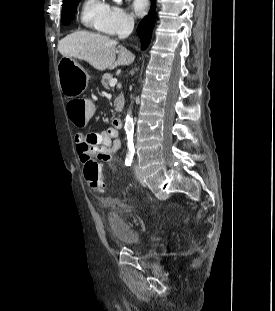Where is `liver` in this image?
Masks as SVG:
<instances>
[{
    "label": "liver",
    "mask_w": 275,
    "mask_h": 311,
    "mask_svg": "<svg viewBox=\"0 0 275 311\" xmlns=\"http://www.w3.org/2000/svg\"><path fill=\"white\" fill-rule=\"evenodd\" d=\"M58 51L63 57L84 60L100 71L130 65L135 60V55L124 47H117L115 40L88 31L67 35L58 43Z\"/></svg>",
    "instance_id": "1"
}]
</instances>
